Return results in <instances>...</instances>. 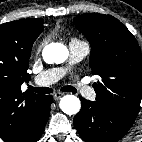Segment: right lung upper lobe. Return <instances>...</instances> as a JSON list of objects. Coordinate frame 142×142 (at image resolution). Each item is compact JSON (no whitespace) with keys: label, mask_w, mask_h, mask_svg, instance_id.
<instances>
[{"label":"right lung upper lobe","mask_w":142,"mask_h":142,"mask_svg":"<svg viewBox=\"0 0 142 142\" xmlns=\"http://www.w3.org/2000/svg\"><path fill=\"white\" fill-rule=\"evenodd\" d=\"M43 19H21L0 25V137L16 142L40 113L44 96L21 85L27 73L31 48L42 32Z\"/></svg>","instance_id":"cb5924a9"}]
</instances>
